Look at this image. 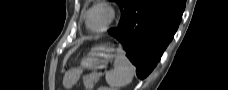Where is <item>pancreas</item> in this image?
Returning <instances> with one entry per match:
<instances>
[{
    "label": "pancreas",
    "instance_id": "1",
    "mask_svg": "<svg viewBox=\"0 0 228 90\" xmlns=\"http://www.w3.org/2000/svg\"><path fill=\"white\" fill-rule=\"evenodd\" d=\"M98 79H99V76H95V75L90 76L84 81L85 87L88 89H92L94 87V84L98 81Z\"/></svg>",
    "mask_w": 228,
    "mask_h": 90
}]
</instances>
